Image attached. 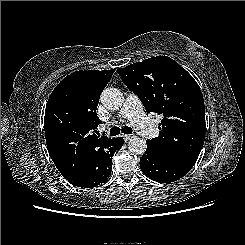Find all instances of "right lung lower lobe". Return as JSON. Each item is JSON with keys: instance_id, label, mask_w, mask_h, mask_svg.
<instances>
[{"instance_id": "right-lung-lower-lobe-1", "label": "right lung lower lobe", "mask_w": 245, "mask_h": 245, "mask_svg": "<svg viewBox=\"0 0 245 245\" xmlns=\"http://www.w3.org/2000/svg\"><path fill=\"white\" fill-rule=\"evenodd\" d=\"M123 144L124 139L120 137L111 139L94 148L88 154L84 166L85 174L82 173V170L69 164H55V166L72 185L82 188H91L107 181L110 177L112 156L121 149Z\"/></svg>"}]
</instances>
